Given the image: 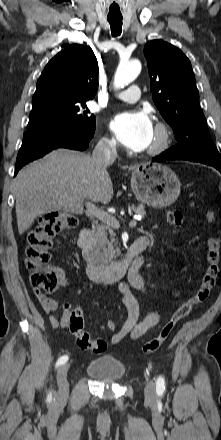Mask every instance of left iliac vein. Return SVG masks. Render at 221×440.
<instances>
[{"label": "left iliac vein", "instance_id": "left-iliac-vein-1", "mask_svg": "<svg viewBox=\"0 0 221 440\" xmlns=\"http://www.w3.org/2000/svg\"><path fill=\"white\" fill-rule=\"evenodd\" d=\"M145 396L148 400H154L156 397L155 385L153 382H149L145 387Z\"/></svg>", "mask_w": 221, "mask_h": 440}]
</instances>
